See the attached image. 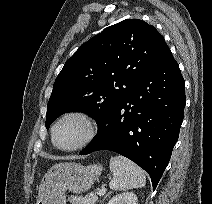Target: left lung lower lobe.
<instances>
[{"label": "left lung lower lobe", "instance_id": "obj_1", "mask_svg": "<svg viewBox=\"0 0 212 204\" xmlns=\"http://www.w3.org/2000/svg\"><path fill=\"white\" fill-rule=\"evenodd\" d=\"M185 104V82L169 50L109 111L80 154L119 153L147 171L155 189L178 139Z\"/></svg>", "mask_w": 212, "mask_h": 204}]
</instances>
